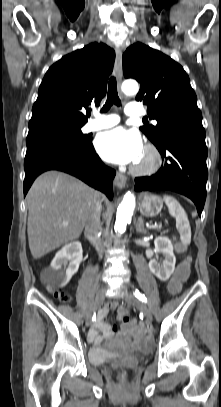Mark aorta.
<instances>
[{"mask_svg":"<svg viewBox=\"0 0 221 407\" xmlns=\"http://www.w3.org/2000/svg\"><path fill=\"white\" fill-rule=\"evenodd\" d=\"M122 90L125 94L134 95L139 91V86L136 81L128 80L122 84ZM135 204L134 194L128 191L117 209L114 226L116 232H124L126 230L127 223L131 220L133 215Z\"/></svg>","mask_w":221,"mask_h":407,"instance_id":"obj_1","label":"aorta"}]
</instances>
